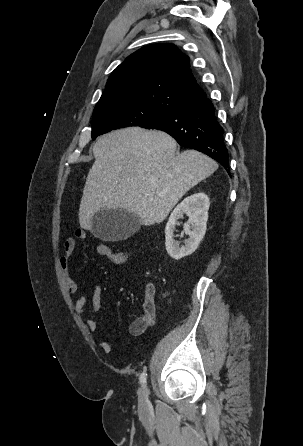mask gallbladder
<instances>
[{
    "label": "gallbladder",
    "instance_id": "bac80fb5",
    "mask_svg": "<svg viewBox=\"0 0 303 446\" xmlns=\"http://www.w3.org/2000/svg\"><path fill=\"white\" fill-rule=\"evenodd\" d=\"M140 228L137 215L125 210H99L92 218V234L105 241L128 238Z\"/></svg>",
    "mask_w": 303,
    "mask_h": 446
}]
</instances>
